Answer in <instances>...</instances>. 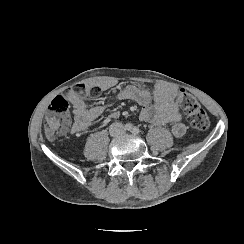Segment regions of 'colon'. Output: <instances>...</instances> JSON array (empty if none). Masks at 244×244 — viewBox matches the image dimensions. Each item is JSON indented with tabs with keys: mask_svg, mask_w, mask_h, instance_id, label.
<instances>
[{
	"mask_svg": "<svg viewBox=\"0 0 244 244\" xmlns=\"http://www.w3.org/2000/svg\"><path fill=\"white\" fill-rule=\"evenodd\" d=\"M99 93L100 88L97 85H92L90 88L85 87L83 84L68 86L65 96L58 95L49 104L48 113L44 119L46 136L54 138L69 130L71 122L70 105L66 96L80 95L82 98H88L90 95L97 96ZM178 101L182 107L187 109L188 120L194 128L204 130L209 126L208 114L195 96L183 92L179 95Z\"/></svg>",
	"mask_w": 244,
	"mask_h": 244,
	"instance_id": "colon-1",
	"label": "colon"
}]
</instances>
